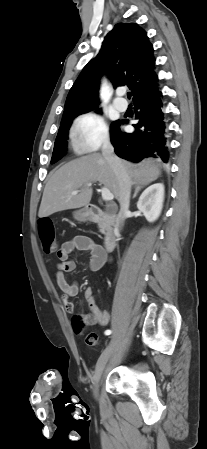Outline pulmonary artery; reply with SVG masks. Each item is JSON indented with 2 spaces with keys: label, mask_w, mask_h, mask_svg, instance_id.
<instances>
[{
  "label": "pulmonary artery",
  "mask_w": 207,
  "mask_h": 449,
  "mask_svg": "<svg viewBox=\"0 0 207 449\" xmlns=\"http://www.w3.org/2000/svg\"><path fill=\"white\" fill-rule=\"evenodd\" d=\"M122 95H123L122 92H117V95L113 100L115 108L118 109L119 111H125L127 109V102L122 97Z\"/></svg>",
  "instance_id": "1"
}]
</instances>
